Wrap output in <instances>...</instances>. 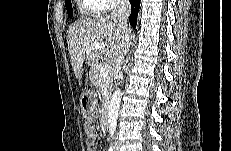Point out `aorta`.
Masks as SVG:
<instances>
[{
  "label": "aorta",
  "mask_w": 231,
  "mask_h": 151,
  "mask_svg": "<svg viewBox=\"0 0 231 151\" xmlns=\"http://www.w3.org/2000/svg\"><path fill=\"white\" fill-rule=\"evenodd\" d=\"M120 102L121 90L117 89L112 96L108 111L109 133L111 136H113L116 131Z\"/></svg>",
  "instance_id": "aorta-1"
}]
</instances>
